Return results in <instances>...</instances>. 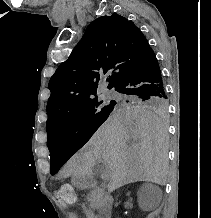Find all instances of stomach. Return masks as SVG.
Segmentation results:
<instances>
[{
    "mask_svg": "<svg viewBox=\"0 0 211 218\" xmlns=\"http://www.w3.org/2000/svg\"><path fill=\"white\" fill-rule=\"evenodd\" d=\"M73 182L76 186H83L86 182L85 176L81 174L73 175Z\"/></svg>",
    "mask_w": 211,
    "mask_h": 218,
    "instance_id": "stomach-1",
    "label": "stomach"
}]
</instances>
